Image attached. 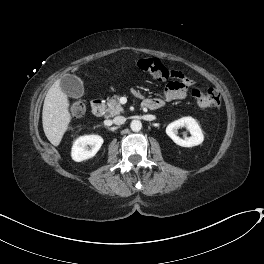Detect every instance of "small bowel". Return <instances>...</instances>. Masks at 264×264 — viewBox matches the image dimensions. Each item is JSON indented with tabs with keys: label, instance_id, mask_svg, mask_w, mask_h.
<instances>
[{
	"label": "small bowel",
	"instance_id": "c3829d8e",
	"mask_svg": "<svg viewBox=\"0 0 264 264\" xmlns=\"http://www.w3.org/2000/svg\"><path fill=\"white\" fill-rule=\"evenodd\" d=\"M174 79L167 83L163 98H148L142 101V107L148 110H156L164 106L166 101L183 99L186 96V87L182 86L178 80L183 77L180 71L173 72ZM134 95L142 98L139 91H134Z\"/></svg>",
	"mask_w": 264,
	"mask_h": 264
}]
</instances>
